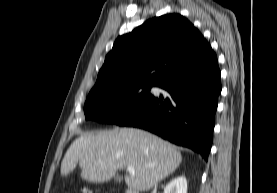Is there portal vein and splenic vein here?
<instances>
[{"instance_id":"1","label":"portal vein and splenic vein","mask_w":277,"mask_h":193,"mask_svg":"<svg viewBox=\"0 0 277 193\" xmlns=\"http://www.w3.org/2000/svg\"><path fill=\"white\" fill-rule=\"evenodd\" d=\"M127 171H128L129 173H134V172H135V168H134L133 166H128V167H127Z\"/></svg>"}]
</instances>
